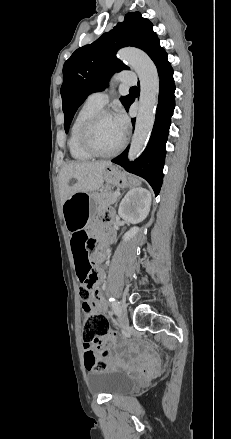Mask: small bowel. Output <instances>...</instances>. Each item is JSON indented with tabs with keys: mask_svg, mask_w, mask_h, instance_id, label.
Wrapping results in <instances>:
<instances>
[{
	"mask_svg": "<svg viewBox=\"0 0 231 439\" xmlns=\"http://www.w3.org/2000/svg\"><path fill=\"white\" fill-rule=\"evenodd\" d=\"M79 235L83 236L84 239L77 242L76 237ZM105 237L108 240H110L111 238H113V233L110 232L109 234H105ZM70 242H71L72 255H73L77 270H78L79 264H85V263L89 262L90 264L92 263L94 266L96 265L97 259L94 257V255H93L92 261H90V257H89V250L93 246V243L88 241L87 234L83 229L78 228V229L72 230ZM97 278H98V276H96V279ZM94 292H95V300H94V303L92 305L91 311L94 313L102 314L105 312V301L102 298L101 292L98 288H95ZM99 345L103 347L104 351H109L110 349H114L117 347L118 339L114 335H109V336H106L105 338L100 339L99 343H98V347H99ZM88 351H92V352L97 351V346L93 345V344H85L84 345V352H88ZM115 364H116V361L113 362V365H115ZM153 369H154V366L151 363L147 362L144 365H142L139 369L133 370L131 373H133V374L144 373V372L151 371Z\"/></svg>",
	"mask_w": 231,
	"mask_h": 439,
	"instance_id": "small-bowel-1",
	"label": "small bowel"
}]
</instances>
